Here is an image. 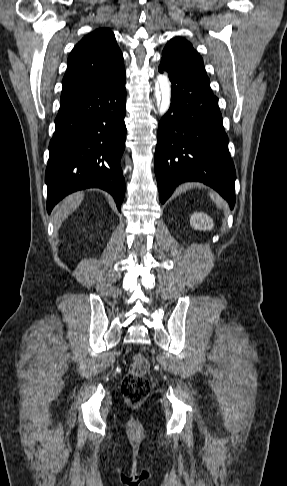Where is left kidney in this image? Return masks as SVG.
Instances as JSON below:
<instances>
[{
    "mask_svg": "<svg viewBox=\"0 0 287 486\" xmlns=\"http://www.w3.org/2000/svg\"><path fill=\"white\" fill-rule=\"evenodd\" d=\"M190 225L195 230L206 231L214 227L213 220L205 213L195 212L190 217Z\"/></svg>",
    "mask_w": 287,
    "mask_h": 486,
    "instance_id": "left-kidney-1",
    "label": "left kidney"
}]
</instances>
